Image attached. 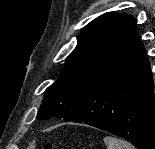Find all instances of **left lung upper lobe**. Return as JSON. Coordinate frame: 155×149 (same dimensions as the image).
Returning <instances> with one entry per match:
<instances>
[{
    "label": "left lung upper lobe",
    "instance_id": "5c2ea615",
    "mask_svg": "<svg viewBox=\"0 0 155 149\" xmlns=\"http://www.w3.org/2000/svg\"><path fill=\"white\" fill-rule=\"evenodd\" d=\"M136 20L108 12L87 24L57 81L45 91L37 119L66 118L115 61Z\"/></svg>",
    "mask_w": 155,
    "mask_h": 149
}]
</instances>
